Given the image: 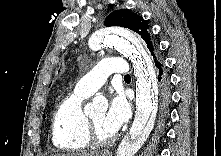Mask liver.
I'll use <instances>...</instances> for the list:
<instances>
[{
    "label": "liver",
    "mask_w": 221,
    "mask_h": 156,
    "mask_svg": "<svg viewBox=\"0 0 221 156\" xmlns=\"http://www.w3.org/2000/svg\"><path fill=\"white\" fill-rule=\"evenodd\" d=\"M98 152H82V153H72V154H56L55 156H98Z\"/></svg>",
    "instance_id": "liver-1"
}]
</instances>
